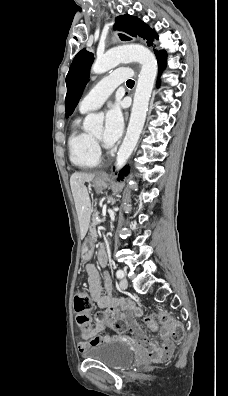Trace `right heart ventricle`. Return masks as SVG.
<instances>
[{
	"label": "right heart ventricle",
	"instance_id": "right-heart-ventricle-1",
	"mask_svg": "<svg viewBox=\"0 0 228 396\" xmlns=\"http://www.w3.org/2000/svg\"><path fill=\"white\" fill-rule=\"evenodd\" d=\"M72 163L83 169L95 168L100 162V153L90 133L82 129L80 119L75 120L68 138Z\"/></svg>",
	"mask_w": 228,
	"mask_h": 396
}]
</instances>
